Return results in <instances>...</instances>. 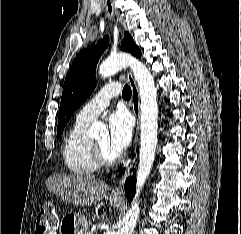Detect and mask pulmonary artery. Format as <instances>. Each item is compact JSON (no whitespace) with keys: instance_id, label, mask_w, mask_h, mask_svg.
Returning <instances> with one entry per match:
<instances>
[{"instance_id":"pulmonary-artery-1","label":"pulmonary artery","mask_w":241,"mask_h":234,"mask_svg":"<svg viewBox=\"0 0 241 234\" xmlns=\"http://www.w3.org/2000/svg\"><path fill=\"white\" fill-rule=\"evenodd\" d=\"M121 92L118 83L105 85L77 114L76 119L82 122H92L109 105L111 99Z\"/></svg>"}]
</instances>
